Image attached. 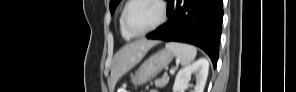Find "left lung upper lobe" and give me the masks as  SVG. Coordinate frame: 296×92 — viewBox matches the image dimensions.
Instances as JSON below:
<instances>
[{
    "mask_svg": "<svg viewBox=\"0 0 296 92\" xmlns=\"http://www.w3.org/2000/svg\"><path fill=\"white\" fill-rule=\"evenodd\" d=\"M121 0H111L110 1V11H111V14L114 13V10L116 8V6L118 5V3L120 2ZM169 1V0H167Z\"/></svg>",
    "mask_w": 296,
    "mask_h": 92,
    "instance_id": "left-lung-upper-lobe-1",
    "label": "left lung upper lobe"
}]
</instances>
